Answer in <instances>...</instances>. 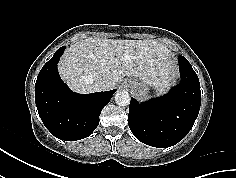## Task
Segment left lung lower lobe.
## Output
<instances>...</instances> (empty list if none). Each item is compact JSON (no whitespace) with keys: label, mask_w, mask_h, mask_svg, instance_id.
<instances>
[{"label":"left lung lower lobe","mask_w":236,"mask_h":178,"mask_svg":"<svg viewBox=\"0 0 236 178\" xmlns=\"http://www.w3.org/2000/svg\"><path fill=\"white\" fill-rule=\"evenodd\" d=\"M180 83L160 98L139 103L131 98L128 124L141 142L165 148L177 144L192 128L201 105L200 83L188 60L178 57Z\"/></svg>","instance_id":"0a47b994"}]
</instances>
